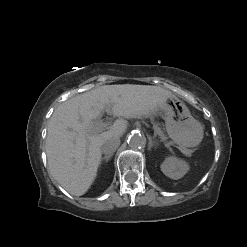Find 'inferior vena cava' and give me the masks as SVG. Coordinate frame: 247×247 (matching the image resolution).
<instances>
[{"label":"inferior vena cava","instance_id":"obj_1","mask_svg":"<svg viewBox=\"0 0 247 247\" xmlns=\"http://www.w3.org/2000/svg\"><path fill=\"white\" fill-rule=\"evenodd\" d=\"M120 145V139L117 137H111L103 141L101 145V151L105 155H112Z\"/></svg>","mask_w":247,"mask_h":247}]
</instances>
